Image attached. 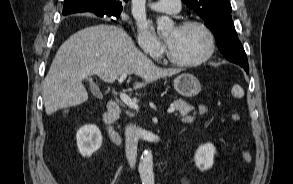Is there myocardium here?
<instances>
[{
	"label": "myocardium",
	"mask_w": 293,
	"mask_h": 184,
	"mask_svg": "<svg viewBox=\"0 0 293 184\" xmlns=\"http://www.w3.org/2000/svg\"><path fill=\"white\" fill-rule=\"evenodd\" d=\"M193 27L201 29L204 32V34L206 35V37L208 39V48H207L206 52L201 57H199L198 59H195V60H180V59L176 58L172 54L170 49L168 48L167 58L171 63L178 65V66H183V67H194V66H198V65L205 63L215 53L216 38H215L214 33L212 32V30L209 28L208 25H206L205 23H203L201 21L190 20V21L182 22L178 26L179 29H187V28H193Z\"/></svg>",
	"instance_id": "obj_1"
}]
</instances>
